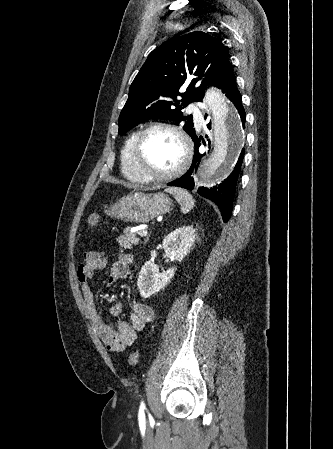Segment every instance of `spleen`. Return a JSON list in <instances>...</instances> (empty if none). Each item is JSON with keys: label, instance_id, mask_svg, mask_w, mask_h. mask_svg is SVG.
Here are the masks:
<instances>
[{"label": "spleen", "instance_id": "spleen-1", "mask_svg": "<svg viewBox=\"0 0 333 449\" xmlns=\"http://www.w3.org/2000/svg\"><path fill=\"white\" fill-rule=\"evenodd\" d=\"M165 191L174 196V198L180 204L181 211L183 213H188L195 206V200L193 196L188 193V191L177 187H169L166 188Z\"/></svg>", "mask_w": 333, "mask_h": 449}]
</instances>
